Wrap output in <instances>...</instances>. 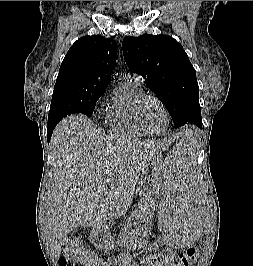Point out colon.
I'll return each mask as SVG.
<instances>
[{"label":"colon","instance_id":"colon-1","mask_svg":"<svg viewBox=\"0 0 253 266\" xmlns=\"http://www.w3.org/2000/svg\"><path fill=\"white\" fill-rule=\"evenodd\" d=\"M198 256L197 249H189L184 253L160 255L150 257L145 266H192ZM60 266H102L101 260L96 254L87 249L78 238L70 239L59 258Z\"/></svg>","mask_w":253,"mask_h":266}]
</instances>
